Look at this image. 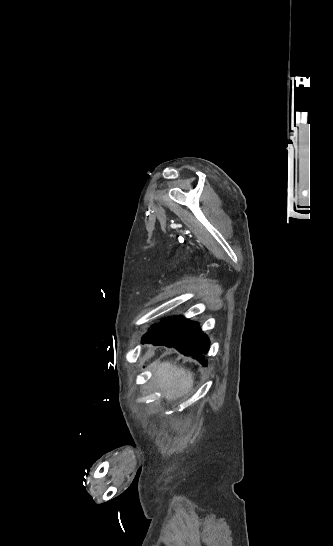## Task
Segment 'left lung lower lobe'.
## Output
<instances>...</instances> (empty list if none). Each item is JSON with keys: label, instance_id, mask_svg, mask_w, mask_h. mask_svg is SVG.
Segmentation results:
<instances>
[{"label": "left lung lower lobe", "instance_id": "obj_1", "mask_svg": "<svg viewBox=\"0 0 333 546\" xmlns=\"http://www.w3.org/2000/svg\"><path fill=\"white\" fill-rule=\"evenodd\" d=\"M142 343L175 348L180 353L196 359L203 366L207 364L205 355L210 347L209 338L203 333L198 322L186 319L184 316L161 319L143 335Z\"/></svg>", "mask_w": 333, "mask_h": 546}]
</instances>
